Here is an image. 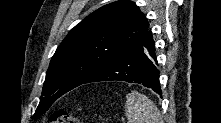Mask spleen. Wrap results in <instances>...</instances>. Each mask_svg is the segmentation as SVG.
Instances as JSON below:
<instances>
[{"mask_svg": "<svg viewBox=\"0 0 221 123\" xmlns=\"http://www.w3.org/2000/svg\"><path fill=\"white\" fill-rule=\"evenodd\" d=\"M125 115L128 123H160L157 106L147 96L135 90L126 95Z\"/></svg>", "mask_w": 221, "mask_h": 123, "instance_id": "3e777b00", "label": "spleen"}]
</instances>
